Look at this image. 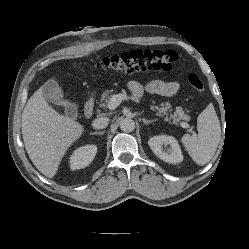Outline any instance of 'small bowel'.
<instances>
[{"label":"small bowel","mask_w":249,"mask_h":249,"mask_svg":"<svg viewBox=\"0 0 249 249\" xmlns=\"http://www.w3.org/2000/svg\"><path fill=\"white\" fill-rule=\"evenodd\" d=\"M128 86L133 96L137 99L142 97L145 92L158 94L163 98H172L177 94L180 88V84L177 81L165 82L161 80H153L146 86H143L138 81L132 80Z\"/></svg>","instance_id":"1"}]
</instances>
